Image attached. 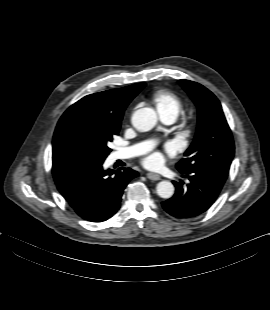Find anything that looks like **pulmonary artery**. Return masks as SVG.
I'll return each mask as SVG.
<instances>
[{"label":"pulmonary artery","instance_id":"e3ab8cb5","mask_svg":"<svg viewBox=\"0 0 270 310\" xmlns=\"http://www.w3.org/2000/svg\"><path fill=\"white\" fill-rule=\"evenodd\" d=\"M162 120L166 124H172L175 119L172 117H165V118H162ZM150 145H151V142H146V143L131 146L126 149L119 150L116 152V158L126 159V158L134 157L138 154H141L145 150H147L150 147Z\"/></svg>","mask_w":270,"mask_h":310}]
</instances>
